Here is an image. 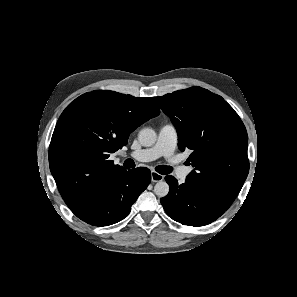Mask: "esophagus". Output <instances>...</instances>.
<instances>
[{
  "instance_id": "obj_1",
  "label": "esophagus",
  "mask_w": 297,
  "mask_h": 297,
  "mask_svg": "<svg viewBox=\"0 0 297 297\" xmlns=\"http://www.w3.org/2000/svg\"><path fill=\"white\" fill-rule=\"evenodd\" d=\"M164 179V176L163 175H161V174H159V173H157V172H155V171H152L151 172V180L153 181V182H160V181H162Z\"/></svg>"
}]
</instances>
